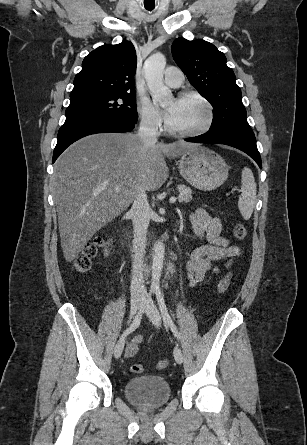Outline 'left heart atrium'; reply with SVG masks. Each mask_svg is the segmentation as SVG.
Here are the masks:
<instances>
[{
  "mask_svg": "<svg viewBox=\"0 0 307 445\" xmlns=\"http://www.w3.org/2000/svg\"><path fill=\"white\" fill-rule=\"evenodd\" d=\"M165 117H166V119L168 120V121H170V119L172 118V116H173V114H174V107L171 105V106H168L166 109H165Z\"/></svg>",
  "mask_w": 307,
  "mask_h": 445,
  "instance_id": "1",
  "label": "left heart atrium"
}]
</instances>
